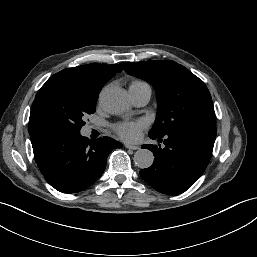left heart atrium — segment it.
<instances>
[{
  "label": "left heart atrium",
  "mask_w": 257,
  "mask_h": 257,
  "mask_svg": "<svg viewBox=\"0 0 257 257\" xmlns=\"http://www.w3.org/2000/svg\"><path fill=\"white\" fill-rule=\"evenodd\" d=\"M146 126L145 122H124L115 127L117 134L126 141H136L140 137L141 130Z\"/></svg>",
  "instance_id": "39dd6f15"
}]
</instances>
